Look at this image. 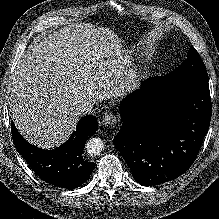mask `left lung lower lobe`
I'll use <instances>...</instances> for the list:
<instances>
[{
    "instance_id": "1",
    "label": "left lung lower lobe",
    "mask_w": 219,
    "mask_h": 219,
    "mask_svg": "<svg viewBox=\"0 0 219 219\" xmlns=\"http://www.w3.org/2000/svg\"><path fill=\"white\" fill-rule=\"evenodd\" d=\"M119 109L122 127L114 145L139 184L158 185L182 175L195 161L211 120L209 83L152 77Z\"/></svg>"
}]
</instances>
